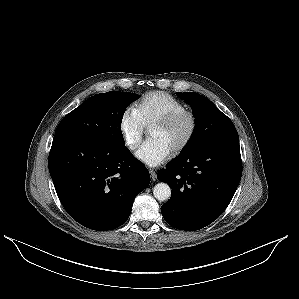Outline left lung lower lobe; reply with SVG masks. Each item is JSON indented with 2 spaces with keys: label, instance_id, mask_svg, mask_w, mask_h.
I'll return each instance as SVG.
<instances>
[{
  "label": "left lung lower lobe",
  "instance_id": "1",
  "mask_svg": "<svg viewBox=\"0 0 299 299\" xmlns=\"http://www.w3.org/2000/svg\"><path fill=\"white\" fill-rule=\"evenodd\" d=\"M242 175L237 131L211 142L203 150L171 160L157 178L172 188L162 205L165 221L174 228L195 231L215 221L227 208Z\"/></svg>",
  "mask_w": 299,
  "mask_h": 299
}]
</instances>
